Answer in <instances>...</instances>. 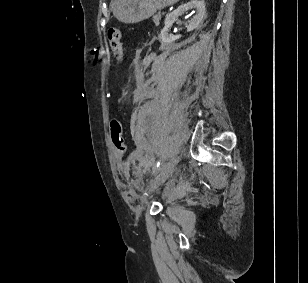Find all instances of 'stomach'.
Segmentation results:
<instances>
[{
  "label": "stomach",
  "mask_w": 308,
  "mask_h": 283,
  "mask_svg": "<svg viewBox=\"0 0 308 283\" xmlns=\"http://www.w3.org/2000/svg\"><path fill=\"white\" fill-rule=\"evenodd\" d=\"M179 0H112L114 17L122 23H138Z\"/></svg>",
  "instance_id": "stomach-1"
}]
</instances>
